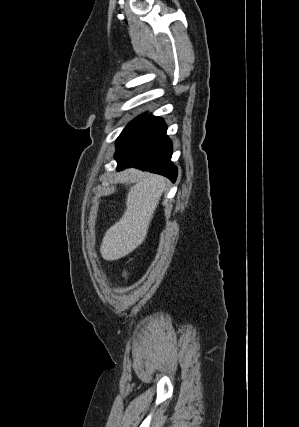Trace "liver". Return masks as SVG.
<instances>
[{"mask_svg":"<svg viewBox=\"0 0 299 427\" xmlns=\"http://www.w3.org/2000/svg\"><path fill=\"white\" fill-rule=\"evenodd\" d=\"M124 174L136 183L128 191L124 215L103 237L100 253L107 261L118 260L143 243L167 182L162 176L133 168Z\"/></svg>","mask_w":299,"mask_h":427,"instance_id":"1","label":"liver"}]
</instances>
